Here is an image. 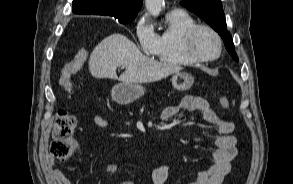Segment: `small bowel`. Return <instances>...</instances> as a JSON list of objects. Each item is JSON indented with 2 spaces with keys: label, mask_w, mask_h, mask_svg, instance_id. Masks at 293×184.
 I'll use <instances>...</instances> for the list:
<instances>
[{
  "label": "small bowel",
  "mask_w": 293,
  "mask_h": 184,
  "mask_svg": "<svg viewBox=\"0 0 293 184\" xmlns=\"http://www.w3.org/2000/svg\"><path fill=\"white\" fill-rule=\"evenodd\" d=\"M201 112L204 120L213 126L217 135L210 141L213 147L212 157L214 164L208 169L197 173L194 181L189 184H222L224 178L231 170V163L237 155V140L233 135L234 124L231 121L218 116L213 109H211L208 101L200 96H185L178 104L169 106L163 110L162 117L164 120H169L179 114L181 111ZM94 123L99 127H107L109 122L102 116L96 115L93 119ZM201 141V138H195ZM75 154H79V150L75 147ZM54 162L49 163L48 174L55 184H72L65 174L58 168H53ZM103 170L115 175L119 166L116 163L107 164ZM152 179L154 184H168L169 174L168 166L164 163L159 164L152 172ZM119 184H134L131 181H122Z\"/></svg>",
  "instance_id": "c3829d8e"
}]
</instances>
